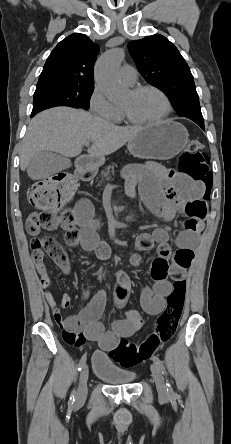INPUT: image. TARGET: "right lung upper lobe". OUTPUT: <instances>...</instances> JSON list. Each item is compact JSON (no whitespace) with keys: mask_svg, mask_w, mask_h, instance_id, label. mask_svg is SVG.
<instances>
[{"mask_svg":"<svg viewBox=\"0 0 231 444\" xmlns=\"http://www.w3.org/2000/svg\"><path fill=\"white\" fill-rule=\"evenodd\" d=\"M99 46L75 33L53 49L39 76L37 87L47 85L94 86L93 65Z\"/></svg>","mask_w":231,"mask_h":444,"instance_id":"1","label":"right lung upper lobe"}]
</instances>
